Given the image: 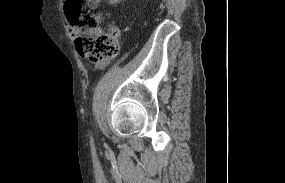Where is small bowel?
I'll return each mask as SVG.
<instances>
[{
    "instance_id": "obj_1",
    "label": "small bowel",
    "mask_w": 285,
    "mask_h": 183,
    "mask_svg": "<svg viewBox=\"0 0 285 183\" xmlns=\"http://www.w3.org/2000/svg\"><path fill=\"white\" fill-rule=\"evenodd\" d=\"M101 0H87V4L91 8H96L100 4ZM109 61L105 60L96 64L98 70L104 69L108 65Z\"/></svg>"
}]
</instances>
